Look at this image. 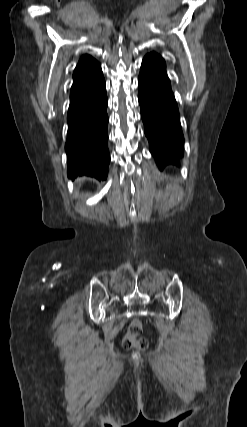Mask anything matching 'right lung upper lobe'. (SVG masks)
<instances>
[{"mask_svg":"<svg viewBox=\"0 0 247 427\" xmlns=\"http://www.w3.org/2000/svg\"><path fill=\"white\" fill-rule=\"evenodd\" d=\"M100 68V64L91 56L84 55L80 58L74 73L73 80L82 79Z\"/></svg>","mask_w":247,"mask_h":427,"instance_id":"right-lung-upper-lobe-1","label":"right lung upper lobe"}]
</instances>
